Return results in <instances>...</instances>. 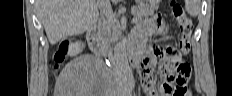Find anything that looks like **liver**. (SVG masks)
Listing matches in <instances>:
<instances>
[{"label": "liver", "mask_w": 232, "mask_h": 96, "mask_svg": "<svg viewBox=\"0 0 232 96\" xmlns=\"http://www.w3.org/2000/svg\"><path fill=\"white\" fill-rule=\"evenodd\" d=\"M99 2L100 0H36L37 13L50 44L55 45L66 37L80 35L91 28L99 17Z\"/></svg>", "instance_id": "1"}]
</instances>
